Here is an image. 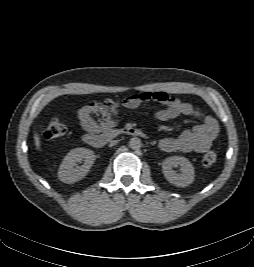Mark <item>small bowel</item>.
Returning <instances> with one entry per match:
<instances>
[{"label": "small bowel", "instance_id": "1", "mask_svg": "<svg viewBox=\"0 0 254 267\" xmlns=\"http://www.w3.org/2000/svg\"><path fill=\"white\" fill-rule=\"evenodd\" d=\"M156 101L164 107L155 114L160 121H168L179 116L200 119L201 123L190 130H186L177 137L163 138L159 142L161 150L165 152L202 154L206 152L218 136V124L214 118L204 114L188 102H183L163 91H144L129 95L121 102L107 99L82 106L77 111L81 127L89 133H99L110 130L117 124L120 108L136 109L142 104Z\"/></svg>", "mask_w": 254, "mask_h": 267}]
</instances>
